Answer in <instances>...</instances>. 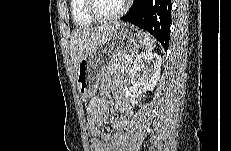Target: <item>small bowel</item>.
<instances>
[{"label":"small bowel","mask_w":231,"mask_h":151,"mask_svg":"<svg viewBox=\"0 0 231 151\" xmlns=\"http://www.w3.org/2000/svg\"><path fill=\"white\" fill-rule=\"evenodd\" d=\"M111 90L117 99L115 107L122 115L112 123L116 130L109 134L101 129V126L109 121V101L104 95L94 97L87 108L88 129L91 134L92 151H119L123 138L124 128L131 116L129 102L124 97L123 89L109 80L101 84V91L105 93Z\"/></svg>","instance_id":"small-bowel-1"}]
</instances>
